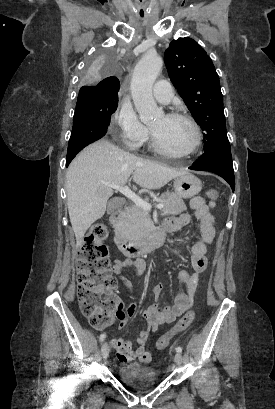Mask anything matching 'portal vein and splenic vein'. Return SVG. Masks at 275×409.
<instances>
[{
    "label": "portal vein and splenic vein",
    "mask_w": 275,
    "mask_h": 409,
    "mask_svg": "<svg viewBox=\"0 0 275 409\" xmlns=\"http://www.w3.org/2000/svg\"><path fill=\"white\" fill-rule=\"evenodd\" d=\"M104 184H107V186H112V188H117V190H120L122 194H125L127 198H131L133 202H135V205H138V207H142L144 211H150L152 209L150 202H146V200H143L141 196H138V194H135L133 190H130L129 186H118V184H111V182H104ZM165 205H156V209H164Z\"/></svg>",
    "instance_id": "1"
}]
</instances>
